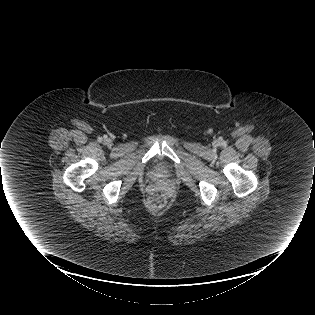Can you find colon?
Instances as JSON below:
<instances>
[{
	"instance_id": "5ec220e1",
	"label": "colon",
	"mask_w": 315,
	"mask_h": 315,
	"mask_svg": "<svg viewBox=\"0 0 315 315\" xmlns=\"http://www.w3.org/2000/svg\"><path fill=\"white\" fill-rule=\"evenodd\" d=\"M149 205L153 209H159L166 203V194L162 189H153L148 199Z\"/></svg>"
}]
</instances>
